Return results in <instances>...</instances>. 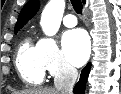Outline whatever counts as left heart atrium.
Returning a JSON list of instances; mask_svg holds the SVG:
<instances>
[{
	"mask_svg": "<svg viewBox=\"0 0 121 94\" xmlns=\"http://www.w3.org/2000/svg\"><path fill=\"white\" fill-rule=\"evenodd\" d=\"M66 59L74 66H82L89 56V39L82 29L67 31L62 37Z\"/></svg>",
	"mask_w": 121,
	"mask_h": 94,
	"instance_id": "obj_1",
	"label": "left heart atrium"
}]
</instances>
